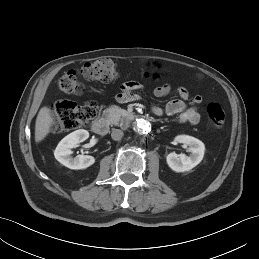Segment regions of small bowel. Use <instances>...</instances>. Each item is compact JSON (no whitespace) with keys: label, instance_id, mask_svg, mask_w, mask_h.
Segmentation results:
<instances>
[{"label":"small bowel","instance_id":"c3829d8e","mask_svg":"<svg viewBox=\"0 0 259 259\" xmlns=\"http://www.w3.org/2000/svg\"><path fill=\"white\" fill-rule=\"evenodd\" d=\"M140 88V84L135 81H127L123 83L120 91L116 95V100L119 103H126L129 101L139 99V95L136 94ZM171 87L168 84L156 86L154 88V95L156 97H163L169 94ZM178 97L169 101L165 108L159 106H153L152 112L156 116H161L165 112L167 115H178L179 121L182 123H189L192 125L198 124L200 121V113L197 105L202 102L201 96H195L190 99L188 90L185 87H179L177 89Z\"/></svg>","mask_w":259,"mask_h":259}]
</instances>
